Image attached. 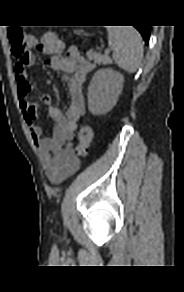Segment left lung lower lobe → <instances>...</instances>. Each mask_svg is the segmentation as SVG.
<instances>
[{"label": "left lung lower lobe", "instance_id": "left-lung-lower-lobe-1", "mask_svg": "<svg viewBox=\"0 0 184 292\" xmlns=\"http://www.w3.org/2000/svg\"><path fill=\"white\" fill-rule=\"evenodd\" d=\"M134 27H136L137 30L141 33L143 39L145 40V43L148 44L150 37V26L136 25Z\"/></svg>", "mask_w": 184, "mask_h": 292}]
</instances>
